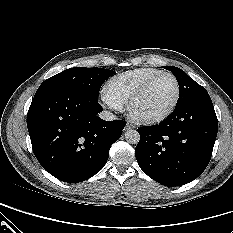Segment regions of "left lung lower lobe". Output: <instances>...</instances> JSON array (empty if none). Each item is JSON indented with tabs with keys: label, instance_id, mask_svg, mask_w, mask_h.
<instances>
[{
	"label": "left lung lower lobe",
	"instance_id": "0a47b994",
	"mask_svg": "<svg viewBox=\"0 0 233 233\" xmlns=\"http://www.w3.org/2000/svg\"><path fill=\"white\" fill-rule=\"evenodd\" d=\"M218 120L208 92L176 104L159 124L138 128L135 155L140 168L165 186H181L207 167L215 143Z\"/></svg>",
	"mask_w": 233,
	"mask_h": 233
}]
</instances>
